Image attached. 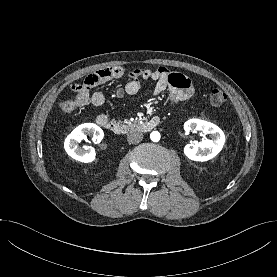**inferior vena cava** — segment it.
Returning <instances> with one entry per match:
<instances>
[{
	"mask_svg": "<svg viewBox=\"0 0 277 277\" xmlns=\"http://www.w3.org/2000/svg\"><path fill=\"white\" fill-rule=\"evenodd\" d=\"M143 139V134L140 132H132L127 135V141L132 144L139 143Z\"/></svg>",
	"mask_w": 277,
	"mask_h": 277,
	"instance_id": "602c4592",
	"label": "inferior vena cava"
}]
</instances>
